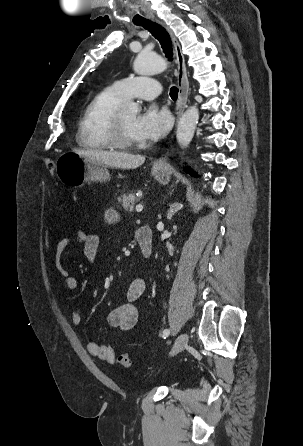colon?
<instances>
[{"mask_svg": "<svg viewBox=\"0 0 303 446\" xmlns=\"http://www.w3.org/2000/svg\"><path fill=\"white\" fill-rule=\"evenodd\" d=\"M44 162H45V165H46L48 171L50 173H54V171H55L54 162L49 158H45ZM118 361L123 367H126V368L130 367V365H131V359H130L129 354H127V353L121 354L119 356Z\"/></svg>", "mask_w": 303, "mask_h": 446, "instance_id": "obj_1", "label": "colon"}]
</instances>
